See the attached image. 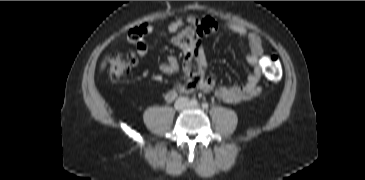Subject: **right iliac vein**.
Masks as SVG:
<instances>
[{"label":"right iliac vein","instance_id":"1","mask_svg":"<svg viewBox=\"0 0 365 180\" xmlns=\"http://www.w3.org/2000/svg\"><path fill=\"white\" fill-rule=\"evenodd\" d=\"M187 104V100L184 98H181L179 100L176 101L175 103V109L177 110H181L184 108V106Z\"/></svg>","mask_w":365,"mask_h":180}]
</instances>
